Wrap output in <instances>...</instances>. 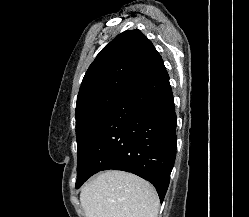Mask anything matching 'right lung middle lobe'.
I'll return each instance as SVG.
<instances>
[{"label":"right lung middle lobe","instance_id":"1","mask_svg":"<svg viewBox=\"0 0 249 217\" xmlns=\"http://www.w3.org/2000/svg\"><path fill=\"white\" fill-rule=\"evenodd\" d=\"M124 94L119 91L105 92L76 106L77 179L79 165L93 135Z\"/></svg>","mask_w":249,"mask_h":217}]
</instances>
